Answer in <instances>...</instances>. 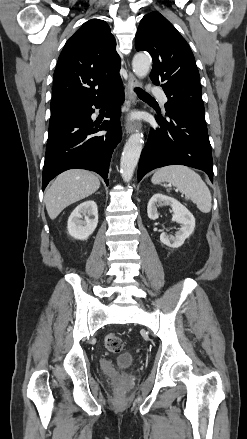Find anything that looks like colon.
I'll list each match as a JSON object with an SVG mask.
<instances>
[{
	"label": "colon",
	"instance_id": "colon-1",
	"mask_svg": "<svg viewBox=\"0 0 247 439\" xmlns=\"http://www.w3.org/2000/svg\"><path fill=\"white\" fill-rule=\"evenodd\" d=\"M105 346L112 353H119L123 349L122 339L116 334H108L105 338Z\"/></svg>",
	"mask_w": 247,
	"mask_h": 439
}]
</instances>
